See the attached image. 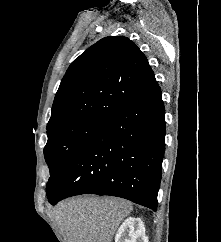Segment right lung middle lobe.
<instances>
[{
  "label": "right lung middle lobe",
  "instance_id": "obj_1",
  "mask_svg": "<svg viewBox=\"0 0 221 242\" xmlns=\"http://www.w3.org/2000/svg\"><path fill=\"white\" fill-rule=\"evenodd\" d=\"M102 121L99 119H81L47 131L48 142L44 148L45 160L50 169V178L46 188L47 196L72 156L94 130L101 125Z\"/></svg>",
  "mask_w": 221,
  "mask_h": 242
}]
</instances>
